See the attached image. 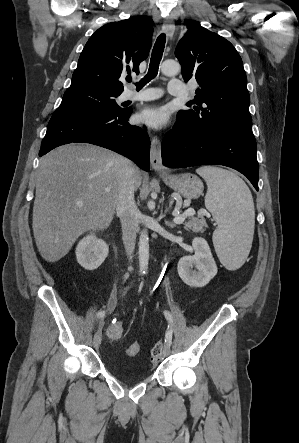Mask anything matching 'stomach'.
Returning a JSON list of instances; mask_svg holds the SVG:
<instances>
[{
    "label": "stomach",
    "mask_w": 299,
    "mask_h": 443,
    "mask_svg": "<svg viewBox=\"0 0 299 443\" xmlns=\"http://www.w3.org/2000/svg\"><path fill=\"white\" fill-rule=\"evenodd\" d=\"M164 183L187 199H196L203 193L201 179L189 173L180 175L162 174Z\"/></svg>",
    "instance_id": "stomach-1"
}]
</instances>
